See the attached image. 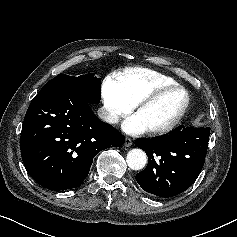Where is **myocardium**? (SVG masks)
<instances>
[{
    "instance_id": "f54148a6",
    "label": "myocardium",
    "mask_w": 237,
    "mask_h": 237,
    "mask_svg": "<svg viewBox=\"0 0 237 237\" xmlns=\"http://www.w3.org/2000/svg\"><path fill=\"white\" fill-rule=\"evenodd\" d=\"M175 90H180V91L184 92V94H185L184 104L182 105V107L180 108L178 113L175 115V117L169 123H167L164 126L149 128L146 130L147 133H149L151 135H161V134H165V133L172 131L178 125V123L181 121V119L183 118L184 114L186 113V111L190 105V94L186 88H184L183 86H181L179 84L166 85V86L159 87L158 89H156L149 95L145 96L144 98H142L140 101H138L134 105V108H133L134 112L137 113L138 111L142 110L144 107L156 102L158 99H160L165 94H167L171 91H175Z\"/></svg>"
}]
</instances>
